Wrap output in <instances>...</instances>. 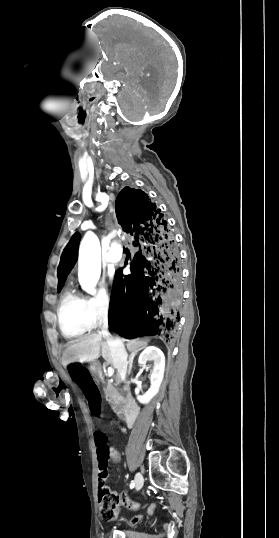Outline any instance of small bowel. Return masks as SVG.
<instances>
[{
    "mask_svg": "<svg viewBox=\"0 0 279 538\" xmlns=\"http://www.w3.org/2000/svg\"><path fill=\"white\" fill-rule=\"evenodd\" d=\"M111 458L113 459L114 462H118L120 460V454L115 449H111ZM121 503L131 510H138L140 508V504L138 502L131 500L125 494L121 496ZM154 509H155V504H152L150 508L148 509V514L149 515L152 514ZM141 519H142L141 515L133 517L132 520L130 521V525L134 526Z\"/></svg>",
    "mask_w": 279,
    "mask_h": 538,
    "instance_id": "obj_1",
    "label": "small bowel"
}]
</instances>
